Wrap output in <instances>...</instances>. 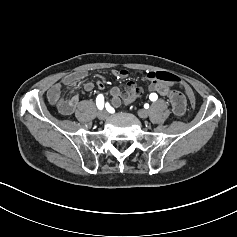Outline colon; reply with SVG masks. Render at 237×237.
Instances as JSON below:
<instances>
[{
	"mask_svg": "<svg viewBox=\"0 0 237 237\" xmlns=\"http://www.w3.org/2000/svg\"><path fill=\"white\" fill-rule=\"evenodd\" d=\"M150 77L157 81L177 84L187 94L192 108H195L196 106L195 94L193 90L180 77L169 72H161V71L150 73ZM126 94H127L126 101H130L132 99L138 98L142 94V89L133 84H129L126 89Z\"/></svg>",
	"mask_w": 237,
	"mask_h": 237,
	"instance_id": "1",
	"label": "colon"
}]
</instances>
